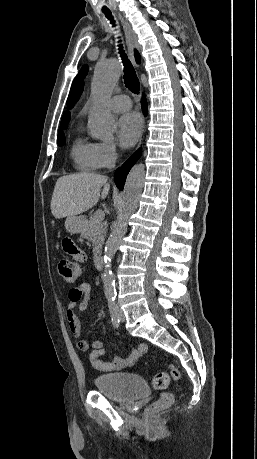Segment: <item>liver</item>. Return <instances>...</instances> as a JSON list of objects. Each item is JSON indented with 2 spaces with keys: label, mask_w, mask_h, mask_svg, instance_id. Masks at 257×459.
<instances>
[{
  "label": "liver",
  "mask_w": 257,
  "mask_h": 459,
  "mask_svg": "<svg viewBox=\"0 0 257 459\" xmlns=\"http://www.w3.org/2000/svg\"><path fill=\"white\" fill-rule=\"evenodd\" d=\"M109 190L107 177L100 174L77 173L60 177L51 199L52 215L57 219L77 216L92 208L100 197L105 199Z\"/></svg>",
  "instance_id": "obj_1"
}]
</instances>
